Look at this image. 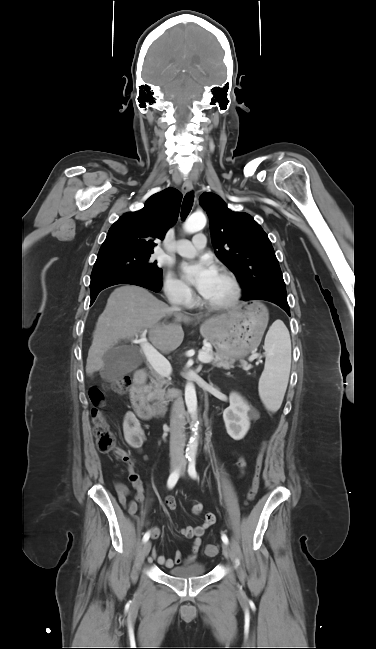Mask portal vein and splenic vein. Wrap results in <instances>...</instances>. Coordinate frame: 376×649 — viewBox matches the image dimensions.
Masks as SVG:
<instances>
[{
  "mask_svg": "<svg viewBox=\"0 0 376 649\" xmlns=\"http://www.w3.org/2000/svg\"><path fill=\"white\" fill-rule=\"evenodd\" d=\"M146 333L147 330H144L140 336L139 342L147 361L157 373L169 377L172 372L169 361L147 341ZM254 358L255 356H251L250 360H253ZM198 360L201 363L206 364L212 361V356L206 352H200ZM244 369L248 370L250 369V366H245Z\"/></svg>",
  "mask_w": 376,
  "mask_h": 649,
  "instance_id": "1",
  "label": "portal vein and splenic vein"
}]
</instances>
